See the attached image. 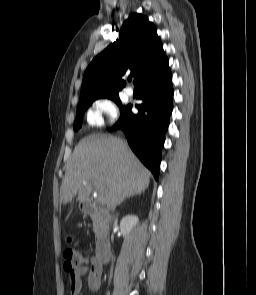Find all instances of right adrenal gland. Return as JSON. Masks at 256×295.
Instances as JSON below:
<instances>
[{
  "label": "right adrenal gland",
  "mask_w": 256,
  "mask_h": 295,
  "mask_svg": "<svg viewBox=\"0 0 256 295\" xmlns=\"http://www.w3.org/2000/svg\"><path fill=\"white\" fill-rule=\"evenodd\" d=\"M130 196H132V195H130ZM130 196H128V197H130ZM123 200H124V199H122L121 202H123Z\"/></svg>",
  "instance_id": "right-adrenal-gland-1"
}]
</instances>
